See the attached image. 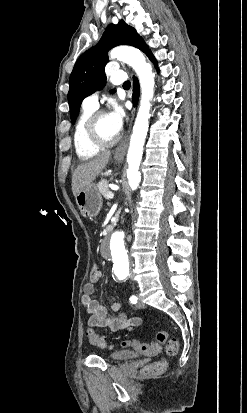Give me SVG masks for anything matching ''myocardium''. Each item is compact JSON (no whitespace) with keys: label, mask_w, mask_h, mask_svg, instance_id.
<instances>
[{"label":"myocardium","mask_w":247,"mask_h":413,"mask_svg":"<svg viewBox=\"0 0 247 413\" xmlns=\"http://www.w3.org/2000/svg\"><path fill=\"white\" fill-rule=\"evenodd\" d=\"M102 114V111H97L93 115H91L86 130V139L91 145L99 149H108L113 147L118 142L119 138L116 136L112 140H105L100 136L98 126L96 125L99 122Z\"/></svg>","instance_id":"f54148a6"}]
</instances>
